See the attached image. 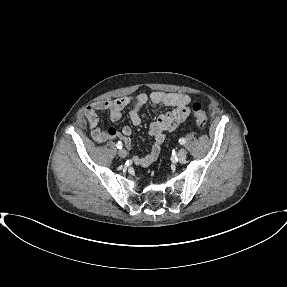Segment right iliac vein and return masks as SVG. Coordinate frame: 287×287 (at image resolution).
Masks as SVG:
<instances>
[{"instance_id":"63e3f726","label":"right iliac vein","mask_w":287,"mask_h":287,"mask_svg":"<svg viewBox=\"0 0 287 287\" xmlns=\"http://www.w3.org/2000/svg\"><path fill=\"white\" fill-rule=\"evenodd\" d=\"M118 155L121 158H125L127 156V151L125 149H120L119 152H118Z\"/></svg>"}]
</instances>
